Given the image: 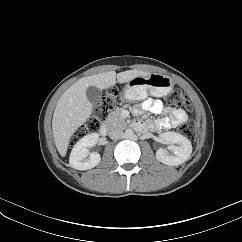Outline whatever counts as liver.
<instances>
[{"instance_id":"6515ba94","label":"liver","mask_w":242,"mask_h":242,"mask_svg":"<svg viewBox=\"0 0 242 242\" xmlns=\"http://www.w3.org/2000/svg\"><path fill=\"white\" fill-rule=\"evenodd\" d=\"M149 74L140 70H127L118 74L109 71L81 78L69 87L60 97L52 119V131L59 154L62 157L66 155L71 136L91 116L93 107L86 95L89 86L102 90L114 86L116 79L118 83H127L136 76Z\"/></svg>"}]
</instances>
